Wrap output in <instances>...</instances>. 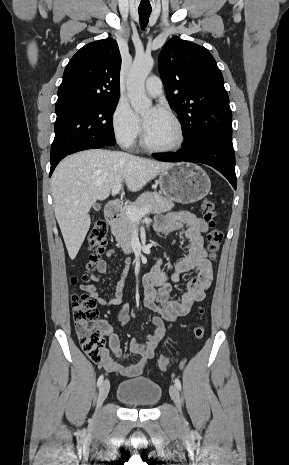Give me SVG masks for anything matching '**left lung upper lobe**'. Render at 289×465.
<instances>
[{"label":"left lung upper lobe","instance_id":"5c2ea615","mask_svg":"<svg viewBox=\"0 0 289 465\" xmlns=\"http://www.w3.org/2000/svg\"><path fill=\"white\" fill-rule=\"evenodd\" d=\"M169 105L183 122L184 148L202 140L232 145V112L224 80L210 52L195 43L170 39L159 55Z\"/></svg>","mask_w":289,"mask_h":465}]
</instances>
